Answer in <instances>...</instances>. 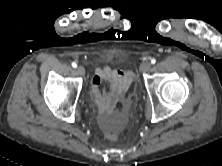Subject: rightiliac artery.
<instances>
[{
	"label": "right iliac artery",
	"mask_w": 222,
	"mask_h": 166,
	"mask_svg": "<svg viewBox=\"0 0 222 166\" xmlns=\"http://www.w3.org/2000/svg\"><path fill=\"white\" fill-rule=\"evenodd\" d=\"M72 67H73V68H76V67H77V64H76L75 62H73V63H72Z\"/></svg>",
	"instance_id": "82829eb1"
}]
</instances>
